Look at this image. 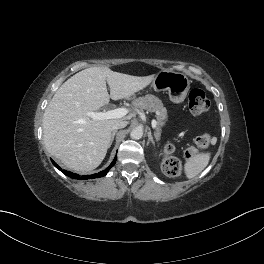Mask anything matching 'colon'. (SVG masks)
Instances as JSON below:
<instances>
[{
    "label": "colon",
    "mask_w": 264,
    "mask_h": 264,
    "mask_svg": "<svg viewBox=\"0 0 264 264\" xmlns=\"http://www.w3.org/2000/svg\"><path fill=\"white\" fill-rule=\"evenodd\" d=\"M188 103L190 111L199 115L206 112L210 107V101L206 97L205 93L200 89H193L190 91L188 96ZM211 136L209 134H203L196 138L195 146L188 148L185 152V158H192L198 150L207 148L210 145ZM174 152V146L172 144H167L164 148L165 155V168L170 175L176 176L180 174L182 170V165L179 160L172 157Z\"/></svg>",
    "instance_id": "1"
}]
</instances>
